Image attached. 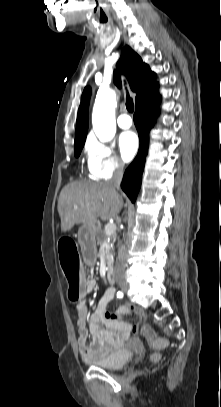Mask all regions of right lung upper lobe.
Listing matches in <instances>:
<instances>
[{
    "mask_svg": "<svg viewBox=\"0 0 221 407\" xmlns=\"http://www.w3.org/2000/svg\"><path fill=\"white\" fill-rule=\"evenodd\" d=\"M116 68L114 83L120 87V74L123 72L126 74L132 91L136 92V106L158 92V83L155 82L156 74L150 70L147 64L143 63L142 59L129 46L123 48ZM90 94L91 89L85 88L77 115L75 143L85 142L86 139Z\"/></svg>",
    "mask_w": 221,
    "mask_h": 407,
    "instance_id": "right-lung-upper-lobe-1",
    "label": "right lung upper lobe"
}]
</instances>
